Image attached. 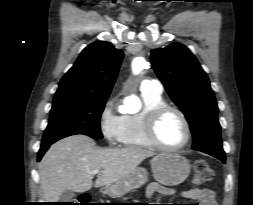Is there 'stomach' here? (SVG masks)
<instances>
[{"label": "stomach", "instance_id": "1", "mask_svg": "<svg viewBox=\"0 0 253 205\" xmlns=\"http://www.w3.org/2000/svg\"><path fill=\"white\" fill-rule=\"evenodd\" d=\"M151 168L157 182L165 186H176L186 180L191 166L189 161L179 154L161 153L152 158ZM147 180V171L144 168L137 167L128 176L105 186L103 193L111 197H120L141 187Z\"/></svg>", "mask_w": 253, "mask_h": 205}]
</instances>
